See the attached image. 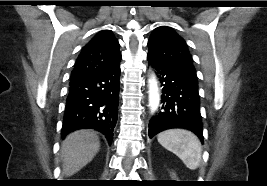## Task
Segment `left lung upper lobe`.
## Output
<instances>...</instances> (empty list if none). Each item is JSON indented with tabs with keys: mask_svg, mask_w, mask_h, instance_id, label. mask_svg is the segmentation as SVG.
<instances>
[{
	"mask_svg": "<svg viewBox=\"0 0 267 186\" xmlns=\"http://www.w3.org/2000/svg\"><path fill=\"white\" fill-rule=\"evenodd\" d=\"M148 56L198 82L192 56L183 38L166 26L157 27L148 41Z\"/></svg>",
	"mask_w": 267,
	"mask_h": 186,
	"instance_id": "left-lung-upper-lobe-1",
	"label": "left lung upper lobe"
}]
</instances>
